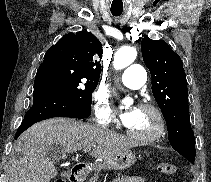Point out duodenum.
I'll use <instances>...</instances> for the list:
<instances>
[{
  "instance_id": "duodenum-1",
  "label": "duodenum",
  "mask_w": 211,
  "mask_h": 182,
  "mask_svg": "<svg viewBox=\"0 0 211 182\" xmlns=\"http://www.w3.org/2000/svg\"><path fill=\"white\" fill-rule=\"evenodd\" d=\"M70 182H82L83 180V166L79 165L72 169L70 178Z\"/></svg>"
}]
</instances>
